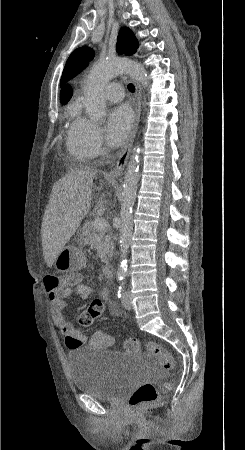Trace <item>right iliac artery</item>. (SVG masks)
<instances>
[{"instance_id":"right-iliac-artery-1","label":"right iliac artery","mask_w":245,"mask_h":450,"mask_svg":"<svg viewBox=\"0 0 245 450\" xmlns=\"http://www.w3.org/2000/svg\"><path fill=\"white\" fill-rule=\"evenodd\" d=\"M124 279V277L122 276V275H118V280L119 281H121V280H123Z\"/></svg>"}]
</instances>
